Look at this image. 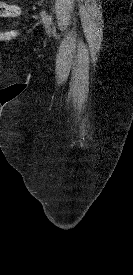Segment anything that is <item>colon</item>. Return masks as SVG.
<instances>
[{
	"label": "colon",
	"instance_id": "5ec220e1",
	"mask_svg": "<svg viewBox=\"0 0 133 275\" xmlns=\"http://www.w3.org/2000/svg\"><path fill=\"white\" fill-rule=\"evenodd\" d=\"M20 14V8L15 5L7 4L0 1V16L1 17H11Z\"/></svg>",
	"mask_w": 133,
	"mask_h": 275
}]
</instances>
